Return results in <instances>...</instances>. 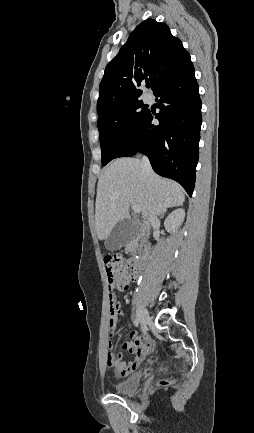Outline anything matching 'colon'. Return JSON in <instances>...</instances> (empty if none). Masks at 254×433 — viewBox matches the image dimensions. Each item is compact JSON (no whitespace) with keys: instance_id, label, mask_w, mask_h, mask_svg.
Listing matches in <instances>:
<instances>
[{"instance_id":"5ec220e1","label":"colon","mask_w":254,"mask_h":433,"mask_svg":"<svg viewBox=\"0 0 254 433\" xmlns=\"http://www.w3.org/2000/svg\"><path fill=\"white\" fill-rule=\"evenodd\" d=\"M104 267L108 278L109 291L115 285L124 286L129 283L130 263L120 255H107L104 257Z\"/></svg>"}]
</instances>
